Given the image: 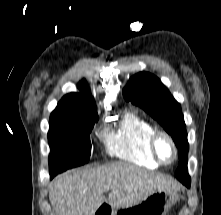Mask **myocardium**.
Segmentation results:
<instances>
[{"label": "myocardium", "mask_w": 221, "mask_h": 215, "mask_svg": "<svg viewBox=\"0 0 221 215\" xmlns=\"http://www.w3.org/2000/svg\"><path fill=\"white\" fill-rule=\"evenodd\" d=\"M164 142L168 145L170 155L165 158L160 152V144ZM149 148L152 157L160 165H170L177 158V148L172 137L164 131H155L149 140Z\"/></svg>", "instance_id": "1"}]
</instances>
